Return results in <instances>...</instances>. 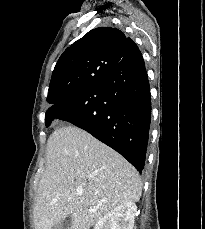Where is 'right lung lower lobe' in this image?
<instances>
[{
	"label": "right lung lower lobe",
	"instance_id": "98d812e1",
	"mask_svg": "<svg viewBox=\"0 0 205 229\" xmlns=\"http://www.w3.org/2000/svg\"><path fill=\"white\" fill-rule=\"evenodd\" d=\"M132 49L106 78L50 107L46 126L54 118L71 122L142 173L151 119L150 87L142 54L139 50L133 55Z\"/></svg>",
	"mask_w": 205,
	"mask_h": 229
}]
</instances>
